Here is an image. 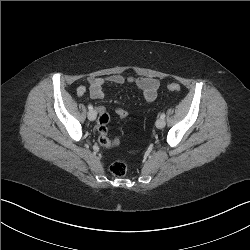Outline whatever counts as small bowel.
I'll list each match as a JSON object with an SVG mask.
<instances>
[{
    "mask_svg": "<svg viewBox=\"0 0 250 250\" xmlns=\"http://www.w3.org/2000/svg\"><path fill=\"white\" fill-rule=\"evenodd\" d=\"M125 83L134 84L139 90H141L145 101L148 103L153 102L156 99L160 87V83L156 79L134 78V77H124L121 75H112L107 78L89 77L87 79V85L78 86L76 92L77 95L82 96L89 89L90 96L93 99L100 100L106 96L104 90V87L106 85H122ZM98 111L101 113L104 112L105 109L103 107H99Z\"/></svg>",
    "mask_w": 250,
    "mask_h": 250,
    "instance_id": "1",
    "label": "small bowel"
}]
</instances>
